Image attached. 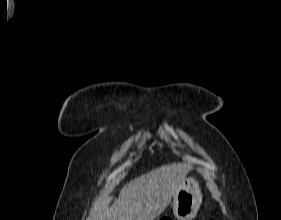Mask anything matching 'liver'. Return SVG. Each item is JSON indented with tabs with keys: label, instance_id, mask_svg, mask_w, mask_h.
<instances>
[{
	"label": "liver",
	"instance_id": "1",
	"mask_svg": "<svg viewBox=\"0 0 281 220\" xmlns=\"http://www.w3.org/2000/svg\"><path fill=\"white\" fill-rule=\"evenodd\" d=\"M189 170L186 164L172 163L141 175L121 189L111 207L109 197L92 220H154L165 211Z\"/></svg>",
	"mask_w": 281,
	"mask_h": 220
}]
</instances>
